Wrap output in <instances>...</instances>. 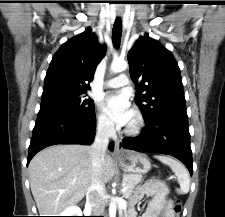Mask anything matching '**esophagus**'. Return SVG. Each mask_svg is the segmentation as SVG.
<instances>
[{
	"label": "esophagus",
	"mask_w": 225,
	"mask_h": 217,
	"mask_svg": "<svg viewBox=\"0 0 225 217\" xmlns=\"http://www.w3.org/2000/svg\"><path fill=\"white\" fill-rule=\"evenodd\" d=\"M123 153L122 143L119 139L115 142V155H121Z\"/></svg>",
	"instance_id": "esophagus-1"
}]
</instances>
